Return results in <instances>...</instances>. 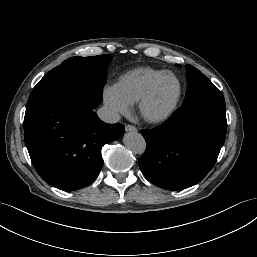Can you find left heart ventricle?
Instances as JSON below:
<instances>
[{"mask_svg":"<svg viewBox=\"0 0 257 257\" xmlns=\"http://www.w3.org/2000/svg\"><path fill=\"white\" fill-rule=\"evenodd\" d=\"M179 90V84L175 77L167 76L158 85L152 99L146 107L151 116L164 114L173 104Z\"/></svg>","mask_w":257,"mask_h":257,"instance_id":"1","label":"left heart ventricle"}]
</instances>
